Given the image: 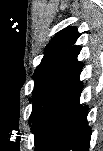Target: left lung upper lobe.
<instances>
[{
    "instance_id": "5c2ea615",
    "label": "left lung upper lobe",
    "mask_w": 103,
    "mask_h": 151,
    "mask_svg": "<svg viewBox=\"0 0 103 151\" xmlns=\"http://www.w3.org/2000/svg\"><path fill=\"white\" fill-rule=\"evenodd\" d=\"M81 35L75 27L69 26L58 32L56 36L49 42L44 51V57L41 63L37 66L34 76L41 72L52 60L61 53L74 45L77 38Z\"/></svg>"
}]
</instances>
